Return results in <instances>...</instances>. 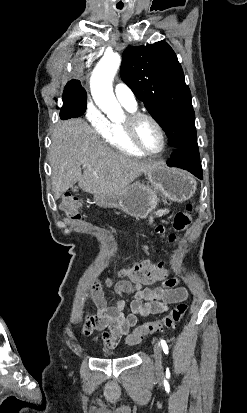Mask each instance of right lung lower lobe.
<instances>
[{"label":"right lung lower lobe","mask_w":247,"mask_h":413,"mask_svg":"<svg viewBox=\"0 0 247 413\" xmlns=\"http://www.w3.org/2000/svg\"><path fill=\"white\" fill-rule=\"evenodd\" d=\"M78 117L77 114L75 113V111L70 110L69 108H67L66 106H63L60 110V118L63 120H67L70 118H75Z\"/></svg>","instance_id":"98d812e1"}]
</instances>
